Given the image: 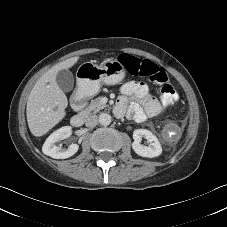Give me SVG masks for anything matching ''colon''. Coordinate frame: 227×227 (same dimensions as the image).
Masks as SVG:
<instances>
[{"mask_svg": "<svg viewBox=\"0 0 227 227\" xmlns=\"http://www.w3.org/2000/svg\"><path fill=\"white\" fill-rule=\"evenodd\" d=\"M122 65L133 76L147 77L160 84V97L165 104L173 105L178 100L174 86L169 82L166 72L155 63L145 60L138 61L133 57H123Z\"/></svg>", "mask_w": 227, "mask_h": 227, "instance_id": "1", "label": "colon"}]
</instances>
